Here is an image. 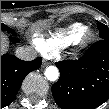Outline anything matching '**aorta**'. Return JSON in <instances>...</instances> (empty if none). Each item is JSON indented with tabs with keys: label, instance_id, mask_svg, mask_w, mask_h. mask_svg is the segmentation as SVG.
Wrapping results in <instances>:
<instances>
[{
	"label": "aorta",
	"instance_id": "1",
	"mask_svg": "<svg viewBox=\"0 0 109 109\" xmlns=\"http://www.w3.org/2000/svg\"><path fill=\"white\" fill-rule=\"evenodd\" d=\"M44 74L49 81H56L59 78V70L55 66H48Z\"/></svg>",
	"mask_w": 109,
	"mask_h": 109
}]
</instances>
